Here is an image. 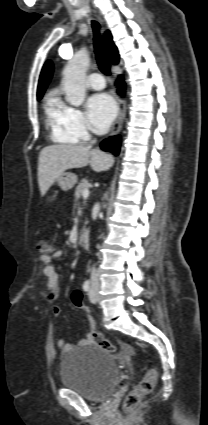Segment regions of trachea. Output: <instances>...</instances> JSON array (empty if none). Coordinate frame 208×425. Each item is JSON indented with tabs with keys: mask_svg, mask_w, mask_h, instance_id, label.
I'll return each mask as SVG.
<instances>
[{
	"mask_svg": "<svg viewBox=\"0 0 208 425\" xmlns=\"http://www.w3.org/2000/svg\"><path fill=\"white\" fill-rule=\"evenodd\" d=\"M92 28L94 34V49L99 69L106 75H110V63L107 59L105 46L99 33L100 25L96 21H92Z\"/></svg>",
	"mask_w": 208,
	"mask_h": 425,
	"instance_id": "trachea-1",
	"label": "trachea"
}]
</instances>
